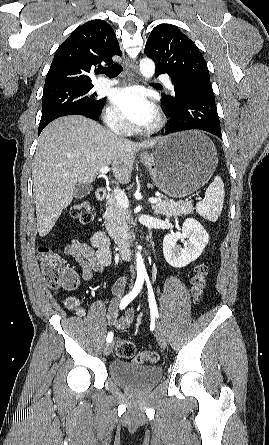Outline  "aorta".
Instances as JSON below:
<instances>
[{"instance_id": "1", "label": "aorta", "mask_w": 269, "mask_h": 445, "mask_svg": "<svg viewBox=\"0 0 269 445\" xmlns=\"http://www.w3.org/2000/svg\"><path fill=\"white\" fill-rule=\"evenodd\" d=\"M140 72L145 78H151L155 73V64L154 62L149 58H144L140 61ZM138 252L136 253V268H137V274L139 276H146V268L144 265V261L141 255V252L139 249H141L140 246L137 247Z\"/></svg>"}]
</instances>
